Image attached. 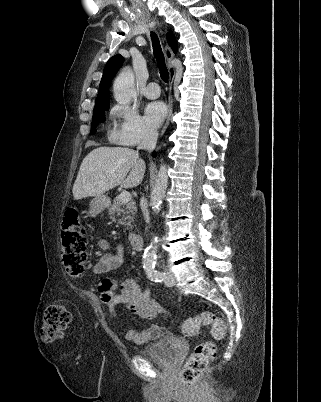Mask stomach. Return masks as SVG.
<instances>
[{"label":"stomach","mask_w":321,"mask_h":402,"mask_svg":"<svg viewBox=\"0 0 321 402\" xmlns=\"http://www.w3.org/2000/svg\"><path fill=\"white\" fill-rule=\"evenodd\" d=\"M109 204V198L100 195V196H95L91 201H90V207H89V212L88 216L94 217L97 214L101 213Z\"/></svg>","instance_id":"0dacf381"}]
</instances>
